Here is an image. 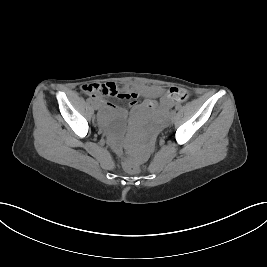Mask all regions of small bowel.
Segmentation results:
<instances>
[{
    "label": "small bowel",
    "instance_id": "1",
    "mask_svg": "<svg viewBox=\"0 0 267 267\" xmlns=\"http://www.w3.org/2000/svg\"><path fill=\"white\" fill-rule=\"evenodd\" d=\"M114 86V85H112ZM88 85L83 86V91L88 93ZM130 95L132 98L131 106L133 108L139 107L136 98L138 96H144L147 100L142 104V106L151 114L162 112H167L170 108L174 107L177 101H175L171 96V91L164 89L160 86H148V85H134L131 87ZM92 96V95H90ZM94 102L102 107L108 109L111 108V104L107 103L98 96H92ZM156 99H159L157 102ZM119 112H124V110L118 108Z\"/></svg>",
    "mask_w": 267,
    "mask_h": 267
}]
</instances>
